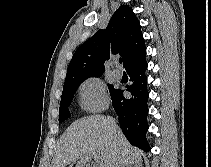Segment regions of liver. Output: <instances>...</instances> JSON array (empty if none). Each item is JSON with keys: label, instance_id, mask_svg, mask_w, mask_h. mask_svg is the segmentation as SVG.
<instances>
[{"label": "liver", "instance_id": "liver-1", "mask_svg": "<svg viewBox=\"0 0 211 167\" xmlns=\"http://www.w3.org/2000/svg\"><path fill=\"white\" fill-rule=\"evenodd\" d=\"M112 120L93 115L72 123L59 140L51 167H67L77 159L75 167H83L93 154L101 157L104 167H113L118 160L121 167L138 163L142 151L129 144L117 125L113 129Z\"/></svg>", "mask_w": 211, "mask_h": 167}]
</instances>
